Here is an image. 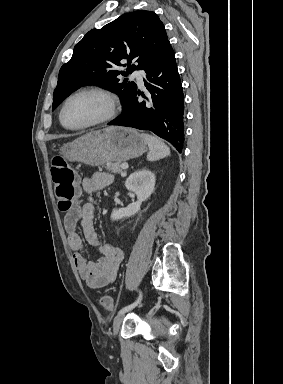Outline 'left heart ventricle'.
Instances as JSON below:
<instances>
[{"mask_svg":"<svg viewBox=\"0 0 283 384\" xmlns=\"http://www.w3.org/2000/svg\"><path fill=\"white\" fill-rule=\"evenodd\" d=\"M104 110L105 103L98 96L80 95L67 104L64 110V122L69 127L81 126L98 118Z\"/></svg>","mask_w":283,"mask_h":384,"instance_id":"1","label":"left heart ventricle"}]
</instances>
